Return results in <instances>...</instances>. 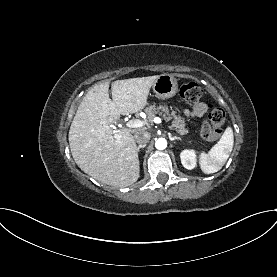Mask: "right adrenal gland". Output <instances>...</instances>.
<instances>
[{"mask_svg": "<svg viewBox=\"0 0 277 277\" xmlns=\"http://www.w3.org/2000/svg\"><path fill=\"white\" fill-rule=\"evenodd\" d=\"M145 146H146V145H139V146L137 147V152H139L141 148H145Z\"/></svg>", "mask_w": 277, "mask_h": 277, "instance_id": "obj_1", "label": "right adrenal gland"}]
</instances>
